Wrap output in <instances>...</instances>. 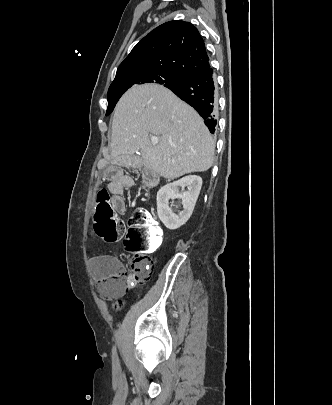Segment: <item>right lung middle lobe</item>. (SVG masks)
<instances>
[{"label":"right lung middle lobe","instance_id":"obj_1","mask_svg":"<svg viewBox=\"0 0 332 405\" xmlns=\"http://www.w3.org/2000/svg\"><path fill=\"white\" fill-rule=\"evenodd\" d=\"M184 76L172 73L155 71H137L122 74L114 79L108 90V108L106 115H109L119 98L132 86L144 83H158L165 87L182 80Z\"/></svg>","mask_w":332,"mask_h":405}]
</instances>
